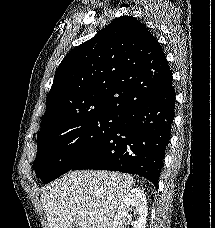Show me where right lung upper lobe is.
I'll list each match as a JSON object with an SVG mask.
<instances>
[{
	"label": "right lung upper lobe",
	"instance_id": "right-lung-upper-lobe-1",
	"mask_svg": "<svg viewBox=\"0 0 215 228\" xmlns=\"http://www.w3.org/2000/svg\"><path fill=\"white\" fill-rule=\"evenodd\" d=\"M171 76L149 29L132 16L119 17L62 60L41 129L103 113L121 115L160 94Z\"/></svg>",
	"mask_w": 215,
	"mask_h": 228
}]
</instances>
